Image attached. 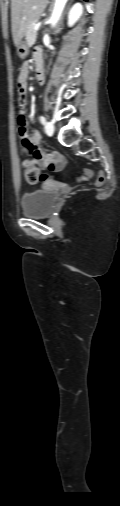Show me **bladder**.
<instances>
[{
	"label": "bladder",
	"instance_id": "obj_1",
	"mask_svg": "<svg viewBox=\"0 0 120 506\" xmlns=\"http://www.w3.org/2000/svg\"><path fill=\"white\" fill-rule=\"evenodd\" d=\"M57 192L42 188L24 193L21 198L22 214L27 217L48 216L55 204Z\"/></svg>",
	"mask_w": 120,
	"mask_h": 506
}]
</instances>
